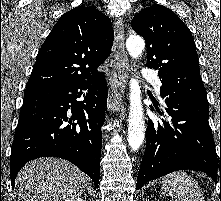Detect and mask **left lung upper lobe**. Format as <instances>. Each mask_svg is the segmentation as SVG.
Returning <instances> with one entry per match:
<instances>
[{"label": "left lung upper lobe", "mask_w": 221, "mask_h": 201, "mask_svg": "<svg viewBox=\"0 0 221 201\" xmlns=\"http://www.w3.org/2000/svg\"><path fill=\"white\" fill-rule=\"evenodd\" d=\"M131 27L146 41L147 67L159 70L161 96L207 100L195 42L173 11L153 5L140 11Z\"/></svg>", "instance_id": "5c2ea615"}]
</instances>
